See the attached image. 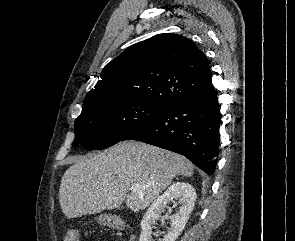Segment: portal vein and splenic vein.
<instances>
[{"instance_id":"portal-vein-and-splenic-vein-1","label":"portal vein and splenic vein","mask_w":295,"mask_h":241,"mask_svg":"<svg viewBox=\"0 0 295 241\" xmlns=\"http://www.w3.org/2000/svg\"><path fill=\"white\" fill-rule=\"evenodd\" d=\"M141 188H143V187H141V186L138 185V184H134V185H132V186L130 187V190H131L132 192H137V191H139Z\"/></svg>"}]
</instances>
